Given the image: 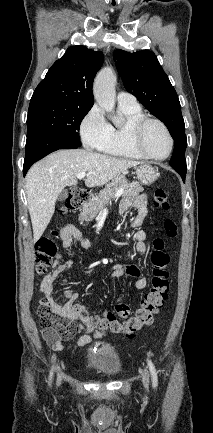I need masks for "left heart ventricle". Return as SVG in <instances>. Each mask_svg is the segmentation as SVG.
Wrapping results in <instances>:
<instances>
[{"label":"left heart ventricle","instance_id":"1","mask_svg":"<svg viewBox=\"0 0 213 433\" xmlns=\"http://www.w3.org/2000/svg\"><path fill=\"white\" fill-rule=\"evenodd\" d=\"M145 148L155 156H165L170 147L169 139L164 130L156 125L149 124L143 135Z\"/></svg>","mask_w":213,"mask_h":433}]
</instances>
